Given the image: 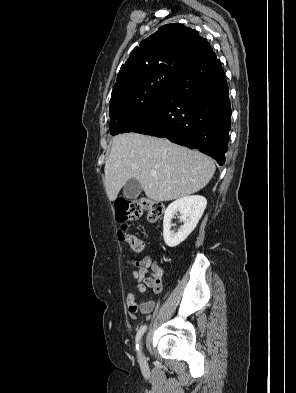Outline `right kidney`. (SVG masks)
Segmentation results:
<instances>
[{
  "instance_id": "1",
  "label": "right kidney",
  "mask_w": 296,
  "mask_h": 393,
  "mask_svg": "<svg viewBox=\"0 0 296 393\" xmlns=\"http://www.w3.org/2000/svg\"><path fill=\"white\" fill-rule=\"evenodd\" d=\"M206 205L205 197L199 195L185 196L169 204L163 220L165 244L169 247H176L182 243L197 226ZM178 212L183 225L177 232H174L171 231V220Z\"/></svg>"
}]
</instances>
